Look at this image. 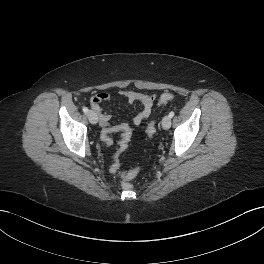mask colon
<instances>
[{"label": "colon", "instance_id": "obj_1", "mask_svg": "<svg viewBox=\"0 0 264 264\" xmlns=\"http://www.w3.org/2000/svg\"><path fill=\"white\" fill-rule=\"evenodd\" d=\"M174 99V95L172 93H164L160 96L159 99V105H165L169 102H171ZM147 134L149 137H152L155 132H156V128H155V123L153 121H150L147 125ZM112 133L110 131H104L101 134V139L104 142V144L106 146H110L112 144V137H111ZM131 138V134L128 131H124V135H123V145L128 146V143L130 141ZM139 172V168H134L128 172H124V173H120L119 170L116 172L120 175V177L122 178V188L124 190H131L133 188L132 184L129 182V180L133 179Z\"/></svg>", "mask_w": 264, "mask_h": 264}]
</instances>
